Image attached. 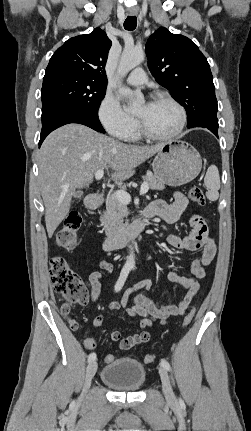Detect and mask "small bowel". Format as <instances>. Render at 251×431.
I'll return each mask as SVG.
<instances>
[{
    "label": "small bowel",
    "mask_w": 251,
    "mask_h": 431,
    "mask_svg": "<svg viewBox=\"0 0 251 431\" xmlns=\"http://www.w3.org/2000/svg\"><path fill=\"white\" fill-rule=\"evenodd\" d=\"M188 205V200L184 194L177 192L174 195V200L168 203L164 200H156L149 204L145 209L152 217H159L167 223H175L182 216ZM192 230L185 236L170 234L167 236V243L174 248L196 252L200 251L201 255L194 260L191 266V277L179 275L174 271L167 273V279L175 284L181 285L187 289V293L179 304H161L156 305L154 301L145 294H137L133 297L129 304L130 293L146 289L149 291L152 287L150 280H141L137 282L128 292L124 294L120 302L109 303L101 313L93 320L94 328H99L104 320L105 314L108 311L124 310L129 316H139L142 319L139 322L141 331L139 333L123 337L120 331H113L109 335V339L113 342H119L120 350H129L139 344L146 343L150 340L149 328L156 321L165 323L169 318L180 316L185 313L192 300L196 297L199 289V280L206 275V267L212 262L216 246L214 238L209 234L208 227L204 219L199 215H193L190 220ZM113 271L112 263L104 259L100 262L99 268L92 270L89 273L87 287L90 291V296L93 302L97 301L101 292L100 279ZM77 329V328H75Z\"/></svg>",
    "instance_id": "obj_1"
}]
</instances>
